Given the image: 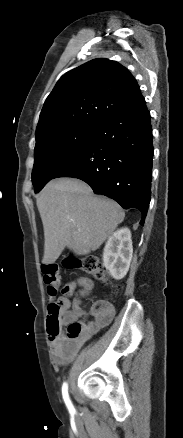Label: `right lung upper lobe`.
<instances>
[{
    "instance_id": "obj_1",
    "label": "right lung upper lobe",
    "mask_w": 183,
    "mask_h": 438,
    "mask_svg": "<svg viewBox=\"0 0 183 438\" xmlns=\"http://www.w3.org/2000/svg\"><path fill=\"white\" fill-rule=\"evenodd\" d=\"M143 100L128 69L108 59L91 60L59 79L45 100L36 139L57 129L97 126Z\"/></svg>"
}]
</instances>
